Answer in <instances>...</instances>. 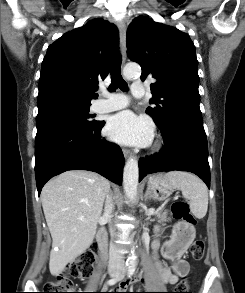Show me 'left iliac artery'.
Instances as JSON below:
<instances>
[{
	"mask_svg": "<svg viewBox=\"0 0 245 293\" xmlns=\"http://www.w3.org/2000/svg\"><path fill=\"white\" fill-rule=\"evenodd\" d=\"M135 272V266H132L128 270V276L131 277Z\"/></svg>",
	"mask_w": 245,
	"mask_h": 293,
	"instance_id": "obj_1",
	"label": "left iliac artery"
}]
</instances>
